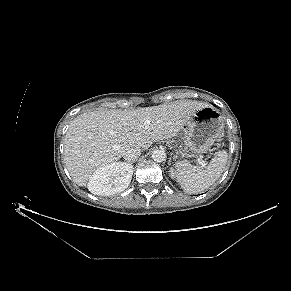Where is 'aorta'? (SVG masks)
Masks as SVG:
<instances>
[{
  "label": "aorta",
  "mask_w": 291,
  "mask_h": 291,
  "mask_svg": "<svg viewBox=\"0 0 291 291\" xmlns=\"http://www.w3.org/2000/svg\"><path fill=\"white\" fill-rule=\"evenodd\" d=\"M165 157H166V154L163 150L157 149L152 152V159L155 162H163L165 160Z\"/></svg>",
  "instance_id": "obj_1"
}]
</instances>
